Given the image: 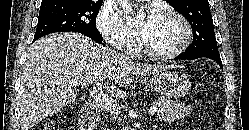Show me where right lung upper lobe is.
<instances>
[{
  "label": "right lung upper lobe",
  "mask_w": 249,
  "mask_h": 130,
  "mask_svg": "<svg viewBox=\"0 0 249 130\" xmlns=\"http://www.w3.org/2000/svg\"><path fill=\"white\" fill-rule=\"evenodd\" d=\"M59 1H63V0H42L41 6L47 5V4H52V3H57ZM88 1H91V0H88ZM98 2H103V0H99Z\"/></svg>",
  "instance_id": "cb5924a9"
}]
</instances>
